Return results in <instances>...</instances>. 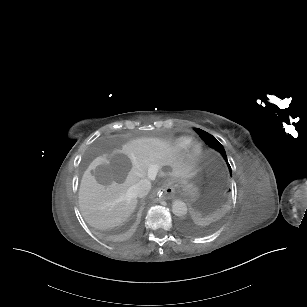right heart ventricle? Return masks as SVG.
I'll list each match as a JSON object with an SVG mask.
<instances>
[{"label":"right heart ventricle","instance_id":"obj_1","mask_svg":"<svg viewBox=\"0 0 307 307\" xmlns=\"http://www.w3.org/2000/svg\"><path fill=\"white\" fill-rule=\"evenodd\" d=\"M192 142V138L188 136H179L173 138L167 145L166 150L171 155H179L182 156L186 154V151L189 145Z\"/></svg>","mask_w":307,"mask_h":307}]
</instances>
